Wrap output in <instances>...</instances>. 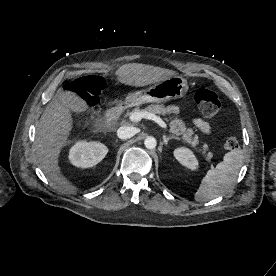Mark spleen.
Returning <instances> with one entry per match:
<instances>
[{"mask_svg":"<svg viewBox=\"0 0 276 276\" xmlns=\"http://www.w3.org/2000/svg\"><path fill=\"white\" fill-rule=\"evenodd\" d=\"M242 150H232L226 153L223 161L215 168L208 170L195 193V200L207 202L225 193L234 183L243 164Z\"/></svg>","mask_w":276,"mask_h":276,"instance_id":"obj_1","label":"spleen"}]
</instances>
